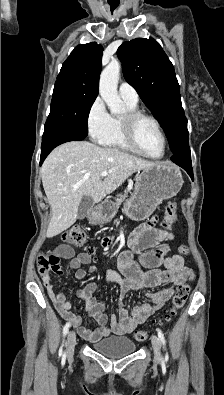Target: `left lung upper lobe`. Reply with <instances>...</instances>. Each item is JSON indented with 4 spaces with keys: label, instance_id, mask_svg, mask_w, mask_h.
Here are the masks:
<instances>
[{
    "label": "left lung upper lobe",
    "instance_id": "5c2ea615",
    "mask_svg": "<svg viewBox=\"0 0 224 395\" xmlns=\"http://www.w3.org/2000/svg\"><path fill=\"white\" fill-rule=\"evenodd\" d=\"M126 81L161 123L175 153L187 140V119L174 67L153 38L124 42L117 50Z\"/></svg>",
    "mask_w": 224,
    "mask_h": 395
}]
</instances>
